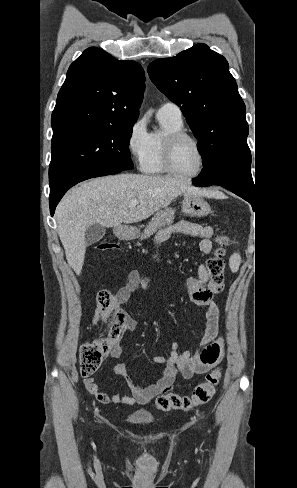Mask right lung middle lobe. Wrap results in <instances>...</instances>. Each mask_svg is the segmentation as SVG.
<instances>
[{
    "label": "right lung middle lobe",
    "instance_id": "dd1d6c3e",
    "mask_svg": "<svg viewBox=\"0 0 297 488\" xmlns=\"http://www.w3.org/2000/svg\"><path fill=\"white\" fill-rule=\"evenodd\" d=\"M133 125L82 127L54 134L49 166L50 198L96 172L130 170Z\"/></svg>",
    "mask_w": 297,
    "mask_h": 488
}]
</instances>
